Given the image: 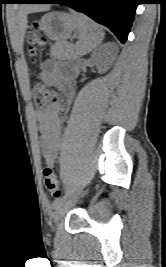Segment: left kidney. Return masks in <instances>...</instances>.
Returning <instances> with one entry per match:
<instances>
[{
    "label": "left kidney",
    "instance_id": "1",
    "mask_svg": "<svg viewBox=\"0 0 166 267\" xmlns=\"http://www.w3.org/2000/svg\"><path fill=\"white\" fill-rule=\"evenodd\" d=\"M111 46H112L111 43L106 45V47H111ZM92 60L96 65L98 72L100 74L107 72L113 63L112 57L108 56L106 51L94 53L92 55Z\"/></svg>",
    "mask_w": 166,
    "mask_h": 267
}]
</instances>
